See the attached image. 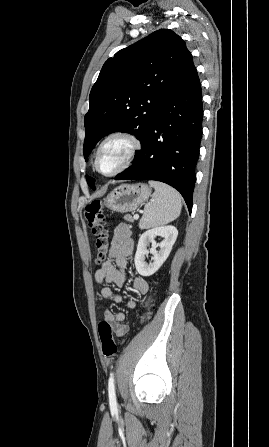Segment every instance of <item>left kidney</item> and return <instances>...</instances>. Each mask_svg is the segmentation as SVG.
<instances>
[{"mask_svg": "<svg viewBox=\"0 0 269 447\" xmlns=\"http://www.w3.org/2000/svg\"><path fill=\"white\" fill-rule=\"evenodd\" d=\"M156 235H163L165 239H162L160 243H156ZM178 235V229L175 225H163V227H153V229H148L140 235V239L137 245V251L135 253V265L138 273L140 275H152L155 273L159 267H161L163 261L167 259L173 243L176 241ZM152 243V247H160L159 251L157 249H150L148 251V243ZM146 253H152L153 261L146 263L144 261Z\"/></svg>", "mask_w": 269, "mask_h": 447, "instance_id": "left-kidney-1", "label": "left kidney"}]
</instances>
